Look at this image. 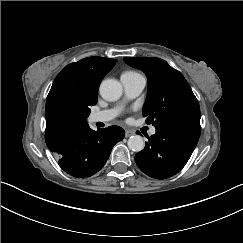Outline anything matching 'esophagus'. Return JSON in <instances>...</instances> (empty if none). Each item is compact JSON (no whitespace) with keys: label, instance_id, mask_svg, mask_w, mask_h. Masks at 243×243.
Instances as JSON below:
<instances>
[{"label":"esophagus","instance_id":"1","mask_svg":"<svg viewBox=\"0 0 243 243\" xmlns=\"http://www.w3.org/2000/svg\"><path fill=\"white\" fill-rule=\"evenodd\" d=\"M133 135H135V133L133 131H131V130H126L125 131V137L126 138H129V137H131Z\"/></svg>","mask_w":243,"mask_h":243}]
</instances>
